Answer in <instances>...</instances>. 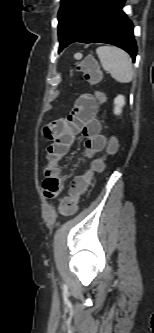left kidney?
Instances as JSON below:
<instances>
[{
	"mask_svg": "<svg viewBox=\"0 0 154 333\" xmlns=\"http://www.w3.org/2000/svg\"><path fill=\"white\" fill-rule=\"evenodd\" d=\"M125 105V97L123 95H118L114 99V114L120 115L122 113V108Z\"/></svg>",
	"mask_w": 154,
	"mask_h": 333,
	"instance_id": "obj_1",
	"label": "left kidney"
}]
</instances>
